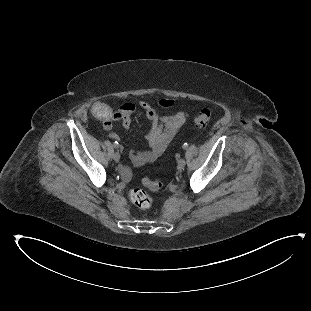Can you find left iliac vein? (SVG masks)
I'll return each mask as SVG.
<instances>
[{
    "label": "left iliac vein",
    "mask_w": 311,
    "mask_h": 311,
    "mask_svg": "<svg viewBox=\"0 0 311 311\" xmlns=\"http://www.w3.org/2000/svg\"><path fill=\"white\" fill-rule=\"evenodd\" d=\"M185 165H186V162H185V160L183 158L178 160L177 168L179 170L184 169Z\"/></svg>",
    "instance_id": "left-iliac-vein-1"
}]
</instances>
